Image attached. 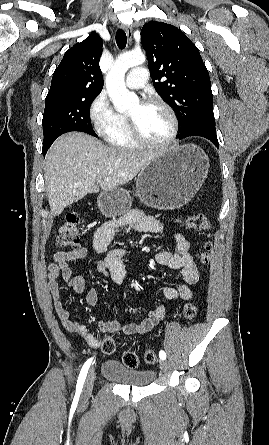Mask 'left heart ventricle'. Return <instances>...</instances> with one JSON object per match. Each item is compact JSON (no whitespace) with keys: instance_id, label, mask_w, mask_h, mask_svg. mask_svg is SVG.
<instances>
[{"instance_id":"b2bd125f","label":"left heart ventricle","mask_w":269,"mask_h":445,"mask_svg":"<svg viewBox=\"0 0 269 445\" xmlns=\"http://www.w3.org/2000/svg\"><path fill=\"white\" fill-rule=\"evenodd\" d=\"M129 114L136 118L142 135L151 142H161L171 132V119L166 110L159 105H142L139 102Z\"/></svg>"}]
</instances>
